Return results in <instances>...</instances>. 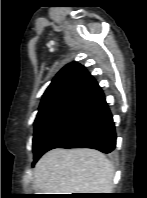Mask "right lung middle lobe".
Listing matches in <instances>:
<instances>
[{"mask_svg": "<svg viewBox=\"0 0 147 198\" xmlns=\"http://www.w3.org/2000/svg\"><path fill=\"white\" fill-rule=\"evenodd\" d=\"M72 107V105H54L39 109L34 123V157L39 152V148L44 140L60 124Z\"/></svg>", "mask_w": 147, "mask_h": 198, "instance_id": "1", "label": "right lung middle lobe"}]
</instances>
